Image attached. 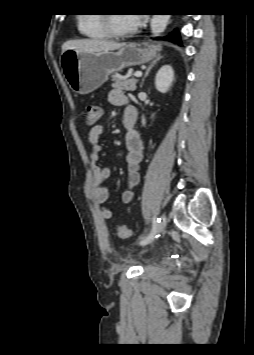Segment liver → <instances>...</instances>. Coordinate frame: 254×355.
Returning <instances> with one entry per match:
<instances>
[{"label": "liver", "mask_w": 254, "mask_h": 355, "mask_svg": "<svg viewBox=\"0 0 254 355\" xmlns=\"http://www.w3.org/2000/svg\"><path fill=\"white\" fill-rule=\"evenodd\" d=\"M125 43H116L113 41L99 40V39H78L70 40L62 45V53L68 49L76 50L78 52H102L113 51L123 47Z\"/></svg>", "instance_id": "1"}]
</instances>
